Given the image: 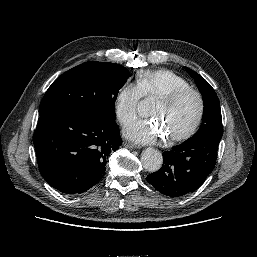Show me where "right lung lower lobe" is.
I'll return each instance as SVG.
<instances>
[{
	"label": "right lung lower lobe",
	"instance_id": "1",
	"mask_svg": "<svg viewBox=\"0 0 257 257\" xmlns=\"http://www.w3.org/2000/svg\"><path fill=\"white\" fill-rule=\"evenodd\" d=\"M33 142L40 173L67 194L96 185L111 152L122 144L115 120L72 109L40 115Z\"/></svg>",
	"mask_w": 257,
	"mask_h": 257
}]
</instances>
